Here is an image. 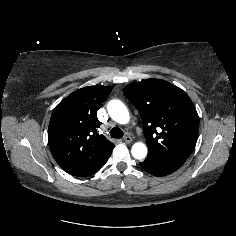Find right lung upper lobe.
I'll use <instances>...</instances> for the list:
<instances>
[{"label": "right lung upper lobe", "mask_w": 236, "mask_h": 236, "mask_svg": "<svg viewBox=\"0 0 236 236\" xmlns=\"http://www.w3.org/2000/svg\"><path fill=\"white\" fill-rule=\"evenodd\" d=\"M110 87L88 86L76 90L54 109L48 127V144L56 162L69 174L88 176L114 148L97 133L99 105Z\"/></svg>", "instance_id": "obj_1"}]
</instances>
